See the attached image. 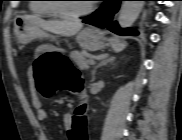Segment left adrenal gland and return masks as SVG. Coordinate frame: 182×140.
<instances>
[{
  "mask_svg": "<svg viewBox=\"0 0 182 140\" xmlns=\"http://www.w3.org/2000/svg\"><path fill=\"white\" fill-rule=\"evenodd\" d=\"M114 61H115V57H109V56H106V57H104L101 61H100V63H98V65H96L95 67H94V69H93V71H92V81H95V74H96V71H97V69L99 68V67H101V66H106V65H108V64H113L114 63Z\"/></svg>",
  "mask_w": 182,
  "mask_h": 140,
  "instance_id": "obj_1",
  "label": "left adrenal gland"
}]
</instances>
